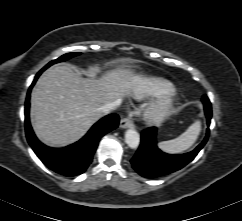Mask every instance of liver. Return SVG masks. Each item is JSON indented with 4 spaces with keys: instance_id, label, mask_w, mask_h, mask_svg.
<instances>
[{
    "instance_id": "obj_1",
    "label": "liver",
    "mask_w": 242,
    "mask_h": 221,
    "mask_svg": "<svg viewBox=\"0 0 242 221\" xmlns=\"http://www.w3.org/2000/svg\"><path fill=\"white\" fill-rule=\"evenodd\" d=\"M140 81L125 67L98 79L83 78L66 65L48 69L31 94V122L36 136L49 146L76 142L103 116L99 110L102 105L120 103Z\"/></svg>"
}]
</instances>
